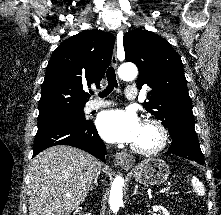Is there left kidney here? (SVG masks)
<instances>
[{
    "instance_id": "5707ae66",
    "label": "left kidney",
    "mask_w": 221,
    "mask_h": 215,
    "mask_svg": "<svg viewBox=\"0 0 221 215\" xmlns=\"http://www.w3.org/2000/svg\"><path fill=\"white\" fill-rule=\"evenodd\" d=\"M154 215H170L163 206H153Z\"/></svg>"
}]
</instances>
